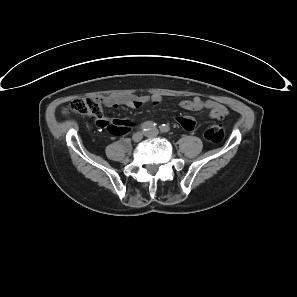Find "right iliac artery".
<instances>
[{"label": "right iliac artery", "instance_id": "right-iliac-artery-1", "mask_svg": "<svg viewBox=\"0 0 297 297\" xmlns=\"http://www.w3.org/2000/svg\"><path fill=\"white\" fill-rule=\"evenodd\" d=\"M154 127H156V123H154L152 121H146V122H144V123L141 124V127L140 128L143 131H148V130L154 128Z\"/></svg>", "mask_w": 297, "mask_h": 297}]
</instances>
